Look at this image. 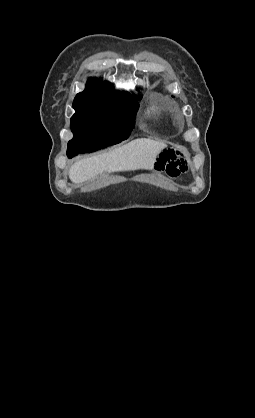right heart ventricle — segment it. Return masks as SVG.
Masks as SVG:
<instances>
[{
    "instance_id": "1",
    "label": "right heart ventricle",
    "mask_w": 255,
    "mask_h": 418,
    "mask_svg": "<svg viewBox=\"0 0 255 418\" xmlns=\"http://www.w3.org/2000/svg\"><path fill=\"white\" fill-rule=\"evenodd\" d=\"M147 113H148V115L155 117L158 114V110L155 106H151V107L148 108Z\"/></svg>"
}]
</instances>
